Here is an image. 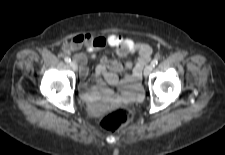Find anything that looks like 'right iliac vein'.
<instances>
[{"label": "right iliac vein", "instance_id": "63e3f726", "mask_svg": "<svg viewBox=\"0 0 225 155\" xmlns=\"http://www.w3.org/2000/svg\"><path fill=\"white\" fill-rule=\"evenodd\" d=\"M70 67L75 71L78 69V65L75 61L70 62Z\"/></svg>", "mask_w": 225, "mask_h": 155}]
</instances>
